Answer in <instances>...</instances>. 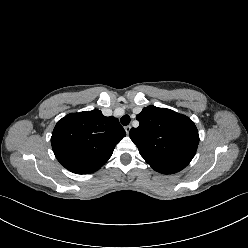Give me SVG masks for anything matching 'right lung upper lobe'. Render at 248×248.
Masks as SVG:
<instances>
[{
    "mask_svg": "<svg viewBox=\"0 0 248 248\" xmlns=\"http://www.w3.org/2000/svg\"><path fill=\"white\" fill-rule=\"evenodd\" d=\"M126 132L117 118L100 110L66 115L56 124L51 144L58 161L76 174L100 169Z\"/></svg>",
    "mask_w": 248,
    "mask_h": 248,
    "instance_id": "obj_1",
    "label": "right lung upper lobe"
}]
</instances>
